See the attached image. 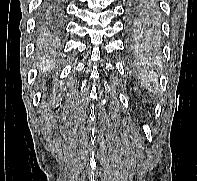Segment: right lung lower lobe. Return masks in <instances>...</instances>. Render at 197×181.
Listing matches in <instances>:
<instances>
[{
  "label": "right lung lower lobe",
  "mask_w": 197,
  "mask_h": 181,
  "mask_svg": "<svg viewBox=\"0 0 197 181\" xmlns=\"http://www.w3.org/2000/svg\"><path fill=\"white\" fill-rule=\"evenodd\" d=\"M45 8L47 10L46 14L50 17L60 19L63 15L60 0H47Z\"/></svg>",
  "instance_id": "98d812e1"
}]
</instances>
